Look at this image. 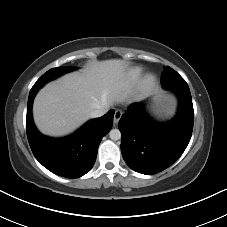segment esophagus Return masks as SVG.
<instances>
[{
  "label": "esophagus",
  "mask_w": 227,
  "mask_h": 227,
  "mask_svg": "<svg viewBox=\"0 0 227 227\" xmlns=\"http://www.w3.org/2000/svg\"><path fill=\"white\" fill-rule=\"evenodd\" d=\"M122 116V111L121 110H116L114 113V124L117 125L120 118Z\"/></svg>",
  "instance_id": "34e87169"
}]
</instances>
